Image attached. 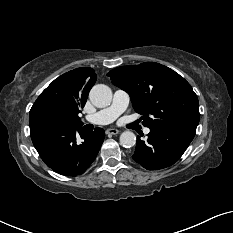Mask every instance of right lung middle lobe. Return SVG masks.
Wrapping results in <instances>:
<instances>
[{
    "instance_id": "1",
    "label": "right lung middle lobe",
    "mask_w": 233,
    "mask_h": 233,
    "mask_svg": "<svg viewBox=\"0 0 233 233\" xmlns=\"http://www.w3.org/2000/svg\"><path fill=\"white\" fill-rule=\"evenodd\" d=\"M36 127L48 129H62L72 125L55 109L42 111L35 123Z\"/></svg>"
}]
</instances>
